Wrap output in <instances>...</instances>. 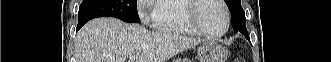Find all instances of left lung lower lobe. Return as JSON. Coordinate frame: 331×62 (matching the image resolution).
Wrapping results in <instances>:
<instances>
[{
  "label": "left lung lower lobe",
  "instance_id": "left-lung-lower-lobe-1",
  "mask_svg": "<svg viewBox=\"0 0 331 62\" xmlns=\"http://www.w3.org/2000/svg\"><path fill=\"white\" fill-rule=\"evenodd\" d=\"M232 27L235 31L241 32L243 35L246 36L247 39H249L248 32L244 28H242L240 25H237L235 22H232Z\"/></svg>",
  "mask_w": 331,
  "mask_h": 62
}]
</instances>
